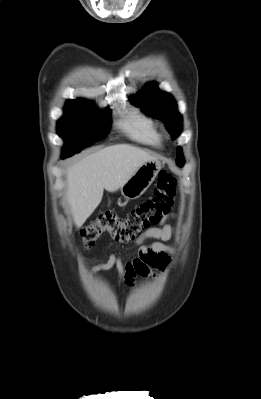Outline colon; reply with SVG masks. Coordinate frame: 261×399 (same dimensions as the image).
<instances>
[{"mask_svg": "<svg viewBox=\"0 0 261 399\" xmlns=\"http://www.w3.org/2000/svg\"><path fill=\"white\" fill-rule=\"evenodd\" d=\"M174 195V177L166 171H160L152 197L132 209L125 217L105 212L82 228L80 235L83 246L93 247L104 234L120 243L134 241L143 232L160 223L169 213Z\"/></svg>", "mask_w": 261, "mask_h": 399, "instance_id": "5ec220e1", "label": "colon"}]
</instances>
